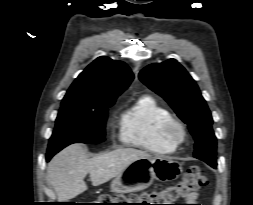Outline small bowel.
Segmentation results:
<instances>
[{
	"label": "small bowel",
	"mask_w": 253,
	"mask_h": 205,
	"mask_svg": "<svg viewBox=\"0 0 253 205\" xmlns=\"http://www.w3.org/2000/svg\"><path fill=\"white\" fill-rule=\"evenodd\" d=\"M199 195L196 193L188 198L189 203H197ZM190 205H200V204H190Z\"/></svg>",
	"instance_id": "small-bowel-1"
}]
</instances>
